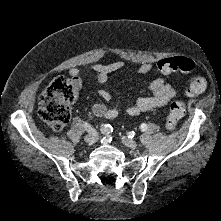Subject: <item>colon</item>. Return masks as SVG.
Instances as JSON below:
<instances>
[{
	"label": "colon",
	"mask_w": 221,
	"mask_h": 221,
	"mask_svg": "<svg viewBox=\"0 0 221 221\" xmlns=\"http://www.w3.org/2000/svg\"><path fill=\"white\" fill-rule=\"evenodd\" d=\"M194 62L183 56L162 59L157 63L161 74L174 72L190 73L194 69ZM206 80L201 75H194L187 87L189 96H197L206 89ZM78 89L66 78L55 79L41 94L39 98L38 113L40 118L55 132L62 131L71 117V106L76 102ZM185 113L183 102L176 101L171 104L166 119L165 128L173 132Z\"/></svg>",
	"instance_id": "5ec220e1"
}]
</instances>
